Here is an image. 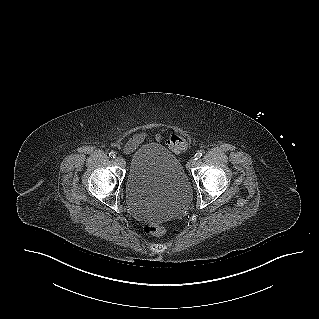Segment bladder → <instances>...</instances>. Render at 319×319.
I'll list each match as a JSON object with an SVG mask.
<instances>
[{
    "instance_id": "obj_1",
    "label": "bladder",
    "mask_w": 319,
    "mask_h": 319,
    "mask_svg": "<svg viewBox=\"0 0 319 319\" xmlns=\"http://www.w3.org/2000/svg\"><path fill=\"white\" fill-rule=\"evenodd\" d=\"M191 194V183L180 160L167 148L151 143L131 153L125 196L138 218H170L186 207Z\"/></svg>"
}]
</instances>
